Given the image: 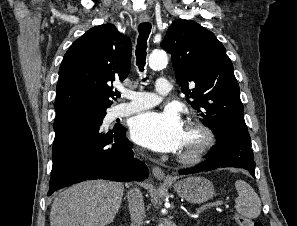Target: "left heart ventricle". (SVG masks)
Wrapping results in <instances>:
<instances>
[{"label": "left heart ventricle", "mask_w": 297, "mask_h": 226, "mask_svg": "<svg viewBox=\"0 0 297 226\" xmlns=\"http://www.w3.org/2000/svg\"><path fill=\"white\" fill-rule=\"evenodd\" d=\"M197 141L198 135L195 132L186 129L182 151L193 148L196 145Z\"/></svg>", "instance_id": "b2bd125f"}]
</instances>
